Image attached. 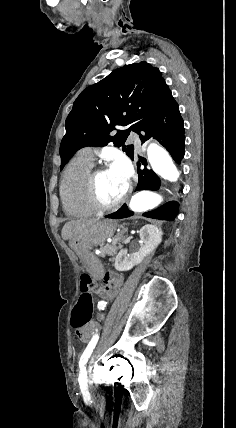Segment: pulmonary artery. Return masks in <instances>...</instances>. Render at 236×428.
I'll return each instance as SVG.
<instances>
[{"label":"pulmonary artery","instance_id":"obj_1","mask_svg":"<svg viewBox=\"0 0 236 428\" xmlns=\"http://www.w3.org/2000/svg\"><path fill=\"white\" fill-rule=\"evenodd\" d=\"M130 140L133 141L135 143L136 146H140L141 140L140 137L137 135H131L130 136ZM88 150V154L91 156L92 159H94V154H93V150L87 149Z\"/></svg>","mask_w":236,"mask_h":428}]
</instances>
